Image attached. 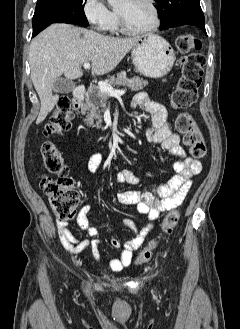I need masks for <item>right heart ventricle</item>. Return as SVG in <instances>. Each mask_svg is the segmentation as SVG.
Here are the masks:
<instances>
[{"label": "right heart ventricle", "instance_id": "e07e8e85", "mask_svg": "<svg viewBox=\"0 0 240 329\" xmlns=\"http://www.w3.org/2000/svg\"><path fill=\"white\" fill-rule=\"evenodd\" d=\"M117 29H118V21H117V17H116L112 26L110 27V30L116 31Z\"/></svg>", "mask_w": 240, "mask_h": 329}]
</instances>
